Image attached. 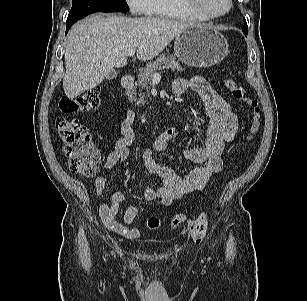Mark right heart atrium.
<instances>
[{
	"mask_svg": "<svg viewBox=\"0 0 307 301\" xmlns=\"http://www.w3.org/2000/svg\"><path fill=\"white\" fill-rule=\"evenodd\" d=\"M126 3L135 14H148L152 7V0H126Z\"/></svg>",
	"mask_w": 307,
	"mask_h": 301,
	"instance_id": "1",
	"label": "right heart atrium"
}]
</instances>
